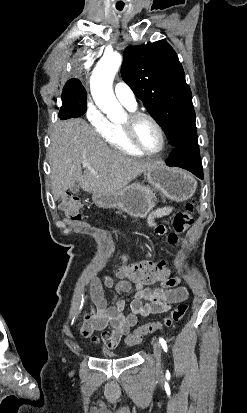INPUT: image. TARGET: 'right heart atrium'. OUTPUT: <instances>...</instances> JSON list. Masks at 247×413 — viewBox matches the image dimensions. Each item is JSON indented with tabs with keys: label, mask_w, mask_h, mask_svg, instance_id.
Wrapping results in <instances>:
<instances>
[{
	"label": "right heart atrium",
	"mask_w": 247,
	"mask_h": 413,
	"mask_svg": "<svg viewBox=\"0 0 247 413\" xmlns=\"http://www.w3.org/2000/svg\"><path fill=\"white\" fill-rule=\"evenodd\" d=\"M86 106L90 110H86L84 116L86 119H91L95 133H106L110 122L105 119L103 105H93L91 101H88Z\"/></svg>",
	"instance_id": "1"
}]
</instances>
